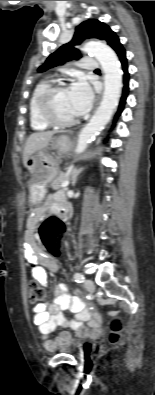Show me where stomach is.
<instances>
[{
    "label": "stomach",
    "instance_id": "stomach-1",
    "mask_svg": "<svg viewBox=\"0 0 155 395\" xmlns=\"http://www.w3.org/2000/svg\"><path fill=\"white\" fill-rule=\"evenodd\" d=\"M71 146L69 136L60 135L52 139L51 147L59 153H66ZM30 176V203L39 205L45 198L47 184L59 173L58 162L48 153L47 149L34 153L25 165Z\"/></svg>",
    "mask_w": 155,
    "mask_h": 395
}]
</instances>
